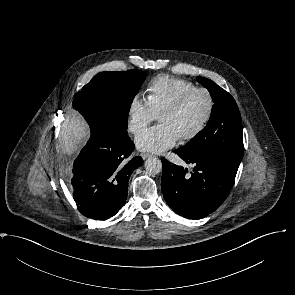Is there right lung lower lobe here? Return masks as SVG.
Returning a JSON list of instances; mask_svg holds the SVG:
<instances>
[{"mask_svg":"<svg viewBox=\"0 0 295 295\" xmlns=\"http://www.w3.org/2000/svg\"><path fill=\"white\" fill-rule=\"evenodd\" d=\"M90 130L91 136L73 164L70 181L79 212L106 220L125 205L130 175L143 160L137 156L125 161L135 149L129 136L118 138L96 126Z\"/></svg>","mask_w":295,"mask_h":295,"instance_id":"obj_1","label":"right lung lower lobe"}]
</instances>
